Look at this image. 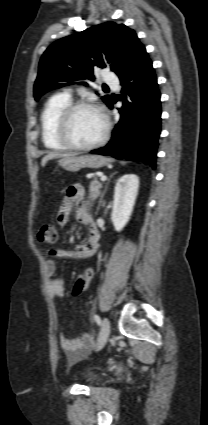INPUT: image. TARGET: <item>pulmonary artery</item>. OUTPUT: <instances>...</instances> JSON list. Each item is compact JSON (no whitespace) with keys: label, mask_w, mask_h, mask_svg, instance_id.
<instances>
[{"label":"pulmonary artery","mask_w":208,"mask_h":425,"mask_svg":"<svg viewBox=\"0 0 208 425\" xmlns=\"http://www.w3.org/2000/svg\"><path fill=\"white\" fill-rule=\"evenodd\" d=\"M104 81L108 85H118L119 83L118 78L113 73L109 72H105Z\"/></svg>","instance_id":"obj_1"}]
</instances>
